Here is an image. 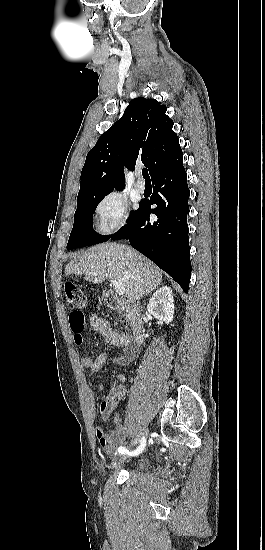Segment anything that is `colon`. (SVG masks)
<instances>
[{
  "instance_id": "5ec220e1",
  "label": "colon",
  "mask_w": 265,
  "mask_h": 550,
  "mask_svg": "<svg viewBox=\"0 0 265 550\" xmlns=\"http://www.w3.org/2000/svg\"><path fill=\"white\" fill-rule=\"evenodd\" d=\"M64 292L66 304L72 310L69 315L70 326L76 339H79L85 327V316L82 310L86 306L87 298L84 291L72 282L65 283ZM122 394L123 391L119 387H111L104 396L102 407L109 410L120 400Z\"/></svg>"
}]
</instances>
